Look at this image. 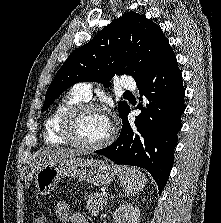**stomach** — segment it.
I'll return each mask as SVG.
<instances>
[{
	"label": "stomach",
	"mask_w": 221,
	"mask_h": 223,
	"mask_svg": "<svg viewBox=\"0 0 221 223\" xmlns=\"http://www.w3.org/2000/svg\"><path fill=\"white\" fill-rule=\"evenodd\" d=\"M74 178L94 186L114 181L115 169L103 160L72 157L42 166L35 177V187L42 195L49 194L62 178Z\"/></svg>",
	"instance_id": "0dacf381"
}]
</instances>
